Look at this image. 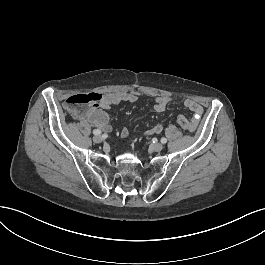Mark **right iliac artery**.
<instances>
[{"label": "right iliac artery", "mask_w": 265, "mask_h": 265, "mask_svg": "<svg viewBox=\"0 0 265 265\" xmlns=\"http://www.w3.org/2000/svg\"><path fill=\"white\" fill-rule=\"evenodd\" d=\"M93 134L94 135H99V134H101V131L98 130V129H95V130H93Z\"/></svg>", "instance_id": "82829eb1"}]
</instances>
